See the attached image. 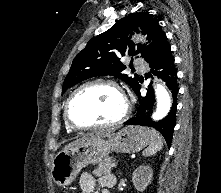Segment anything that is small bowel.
I'll return each mask as SVG.
<instances>
[{
  "instance_id": "small-bowel-1",
  "label": "small bowel",
  "mask_w": 221,
  "mask_h": 193,
  "mask_svg": "<svg viewBox=\"0 0 221 193\" xmlns=\"http://www.w3.org/2000/svg\"><path fill=\"white\" fill-rule=\"evenodd\" d=\"M82 193H92L97 185L100 186V193H110L109 188L114 185L112 176H102L98 180L89 172H83L80 176Z\"/></svg>"
}]
</instances>
